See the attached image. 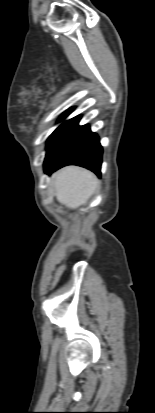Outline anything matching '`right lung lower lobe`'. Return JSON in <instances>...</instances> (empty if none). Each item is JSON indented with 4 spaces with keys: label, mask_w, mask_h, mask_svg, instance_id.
Listing matches in <instances>:
<instances>
[{
    "label": "right lung lower lobe",
    "mask_w": 155,
    "mask_h": 413,
    "mask_svg": "<svg viewBox=\"0 0 155 413\" xmlns=\"http://www.w3.org/2000/svg\"><path fill=\"white\" fill-rule=\"evenodd\" d=\"M80 118H73L63 139L45 159L46 173L66 165H78L101 176L102 147L99 138L90 131L88 125L78 126Z\"/></svg>",
    "instance_id": "obj_1"
}]
</instances>
